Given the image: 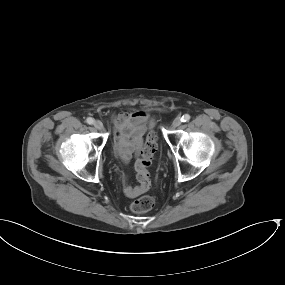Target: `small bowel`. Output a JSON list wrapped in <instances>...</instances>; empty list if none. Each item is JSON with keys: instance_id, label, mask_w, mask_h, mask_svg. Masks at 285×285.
Here are the masks:
<instances>
[{"instance_id": "obj_1", "label": "small bowel", "mask_w": 285, "mask_h": 285, "mask_svg": "<svg viewBox=\"0 0 285 285\" xmlns=\"http://www.w3.org/2000/svg\"><path fill=\"white\" fill-rule=\"evenodd\" d=\"M147 116L142 112L124 111L115 118L114 147L115 152L124 162L132 157H139L141 136L146 131ZM124 194L135 198L145 191L139 187H125Z\"/></svg>"}]
</instances>
